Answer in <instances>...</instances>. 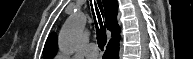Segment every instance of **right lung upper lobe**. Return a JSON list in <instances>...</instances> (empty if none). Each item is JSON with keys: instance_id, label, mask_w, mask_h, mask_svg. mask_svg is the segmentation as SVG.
Wrapping results in <instances>:
<instances>
[{"instance_id": "right-lung-upper-lobe-1", "label": "right lung upper lobe", "mask_w": 193, "mask_h": 59, "mask_svg": "<svg viewBox=\"0 0 193 59\" xmlns=\"http://www.w3.org/2000/svg\"><path fill=\"white\" fill-rule=\"evenodd\" d=\"M103 5L105 9V21L107 29L112 31L113 38L110 41H113L119 38L120 32V28L116 21L118 13V3L117 0H103ZM56 52H57V36L55 33H51L45 43L43 49V56L48 59L55 56Z\"/></svg>"}]
</instances>
